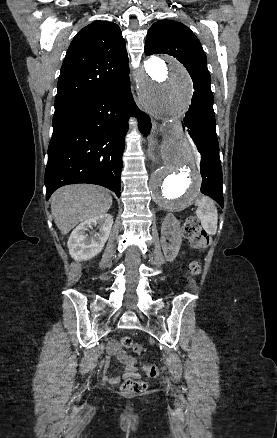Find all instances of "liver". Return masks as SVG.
Here are the masks:
<instances>
[{
	"instance_id": "1",
	"label": "liver",
	"mask_w": 277,
	"mask_h": 438,
	"mask_svg": "<svg viewBox=\"0 0 277 438\" xmlns=\"http://www.w3.org/2000/svg\"><path fill=\"white\" fill-rule=\"evenodd\" d=\"M111 206L112 196L103 188L89 184L64 186L51 198L52 216L63 236L83 220L106 214Z\"/></svg>"
}]
</instances>
